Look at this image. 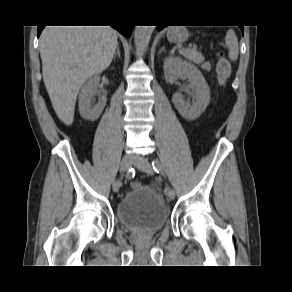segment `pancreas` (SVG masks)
<instances>
[{"label":"pancreas","instance_id":"cf45deb5","mask_svg":"<svg viewBox=\"0 0 292 292\" xmlns=\"http://www.w3.org/2000/svg\"><path fill=\"white\" fill-rule=\"evenodd\" d=\"M181 54L196 64H201L204 61V56L196 49L186 48Z\"/></svg>","mask_w":292,"mask_h":292}]
</instances>
